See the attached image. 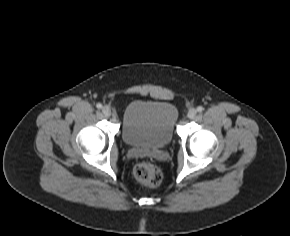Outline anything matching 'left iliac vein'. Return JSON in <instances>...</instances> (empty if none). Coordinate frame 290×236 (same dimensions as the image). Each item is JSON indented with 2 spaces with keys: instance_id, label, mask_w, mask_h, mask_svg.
Masks as SVG:
<instances>
[{
  "instance_id": "4c4485c4",
  "label": "left iliac vein",
  "mask_w": 290,
  "mask_h": 236,
  "mask_svg": "<svg viewBox=\"0 0 290 236\" xmlns=\"http://www.w3.org/2000/svg\"><path fill=\"white\" fill-rule=\"evenodd\" d=\"M196 114H197V110L192 108L188 111L187 116L188 118L193 119L196 116Z\"/></svg>"
}]
</instances>
